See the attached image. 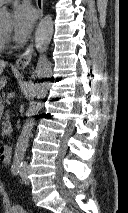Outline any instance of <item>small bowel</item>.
Here are the masks:
<instances>
[{
	"label": "small bowel",
	"mask_w": 128,
	"mask_h": 213,
	"mask_svg": "<svg viewBox=\"0 0 128 213\" xmlns=\"http://www.w3.org/2000/svg\"><path fill=\"white\" fill-rule=\"evenodd\" d=\"M0 196L2 197L3 213H11L10 205L12 202L6 193L4 185L1 180H0Z\"/></svg>",
	"instance_id": "c3829d8e"
}]
</instances>
